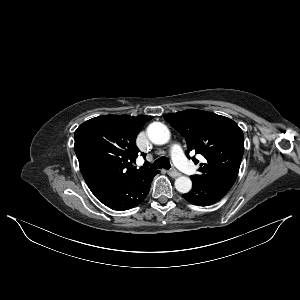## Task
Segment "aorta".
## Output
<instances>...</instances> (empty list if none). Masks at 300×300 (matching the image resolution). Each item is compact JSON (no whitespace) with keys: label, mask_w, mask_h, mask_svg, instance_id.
I'll use <instances>...</instances> for the list:
<instances>
[{"label":"aorta","mask_w":300,"mask_h":300,"mask_svg":"<svg viewBox=\"0 0 300 300\" xmlns=\"http://www.w3.org/2000/svg\"><path fill=\"white\" fill-rule=\"evenodd\" d=\"M147 134L151 142L157 145L165 144L170 139L168 127L160 122H153L147 128ZM175 188L180 193H188L192 188L189 177L180 176L175 180Z\"/></svg>","instance_id":"obj_1"}]
</instances>
